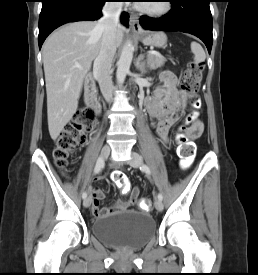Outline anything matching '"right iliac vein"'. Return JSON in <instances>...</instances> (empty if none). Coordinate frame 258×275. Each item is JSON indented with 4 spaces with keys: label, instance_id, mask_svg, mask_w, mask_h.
<instances>
[{
    "label": "right iliac vein",
    "instance_id": "right-iliac-vein-1",
    "mask_svg": "<svg viewBox=\"0 0 258 275\" xmlns=\"http://www.w3.org/2000/svg\"><path fill=\"white\" fill-rule=\"evenodd\" d=\"M109 154H110V146L106 144L101 149V157L103 159H106L109 156ZM90 204H91V197L85 198V200L83 201V206L87 208L90 206Z\"/></svg>",
    "mask_w": 258,
    "mask_h": 275
}]
</instances>
